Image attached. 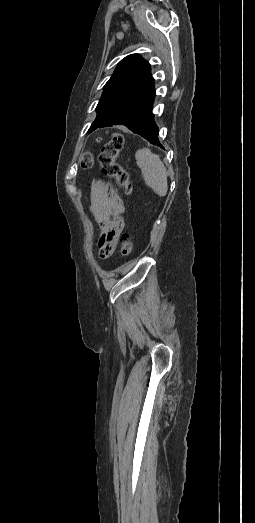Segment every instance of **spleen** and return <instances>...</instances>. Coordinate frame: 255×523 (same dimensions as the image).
I'll return each instance as SVG.
<instances>
[{"label":"spleen","instance_id":"3e777b00","mask_svg":"<svg viewBox=\"0 0 255 523\" xmlns=\"http://www.w3.org/2000/svg\"><path fill=\"white\" fill-rule=\"evenodd\" d=\"M135 160L138 168L142 170L145 184L158 196H166L168 190L166 168L159 156L152 154L149 148H143L137 150Z\"/></svg>","mask_w":255,"mask_h":523}]
</instances>
